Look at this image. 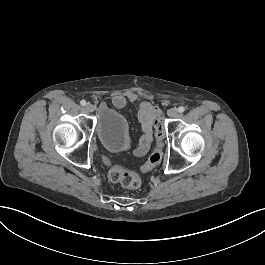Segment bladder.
<instances>
[{
	"mask_svg": "<svg viewBox=\"0 0 265 265\" xmlns=\"http://www.w3.org/2000/svg\"><path fill=\"white\" fill-rule=\"evenodd\" d=\"M96 133L102 146L111 152H120L130 146V131L126 118L117 110L103 108L98 116Z\"/></svg>",
	"mask_w": 265,
	"mask_h": 265,
	"instance_id": "31cf9c89",
	"label": "bladder"
}]
</instances>
